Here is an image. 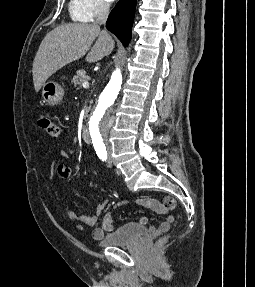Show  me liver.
<instances>
[{
  "instance_id": "obj_1",
  "label": "liver",
  "mask_w": 255,
  "mask_h": 287,
  "mask_svg": "<svg viewBox=\"0 0 255 287\" xmlns=\"http://www.w3.org/2000/svg\"><path fill=\"white\" fill-rule=\"evenodd\" d=\"M97 38V40H96ZM96 40L93 48H91ZM115 46L111 36L98 24H63L51 30L42 40L33 62V82L35 92H39L46 80L57 70L80 60L87 54L88 64L109 56Z\"/></svg>"
}]
</instances>
